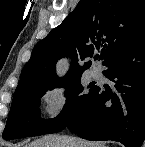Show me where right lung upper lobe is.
I'll return each instance as SVG.
<instances>
[{
	"label": "right lung upper lobe",
	"mask_w": 145,
	"mask_h": 147,
	"mask_svg": "<svg viewBox=\"0 0 145 147\" xmlns=\"http://www.w3.org/2000/svg\"><path fill=\"white\" fill-rule=\"evenodd\" d=\"M145 29V0H81L75 10L33 48L15 90L56 87L90 67L78 59L92 57L100 44L103 65L130 38ZM95 46V47H94ZM72 57L67 75L58 78L55 65L61 57Z\"/></svg>",
	"instance_id": "right-lung-upper-lobe-1"
}]
</instances>
